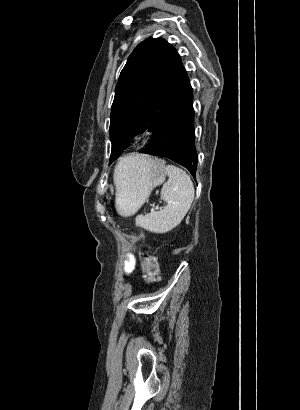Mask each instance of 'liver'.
Instances as JSON below:
<instances>
[{"mask_svg":"<svg viewBox=\"0 0 300 410\" xmlns=\"http://www.w3.org/2000/svg\"><path fill=\"white\" fill-rule=\"evenodd\" d=\"M145 156L146 155L135 154V155H131L130 157L138 162V161L144 160ZM115 185H116V189L118 190L119 186L117 185V181L115 182Z\"/></svg>","mask_w":300,"mask_h":410,"instance_id":"obj_1","label":"liver"}]
</instances>
